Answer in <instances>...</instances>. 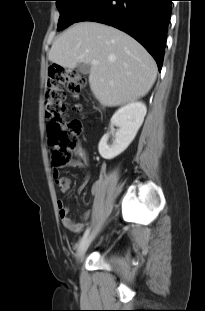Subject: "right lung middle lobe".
Masks as SVG:
<instances>
[{
	"label": "right lung middle lobe",
	"instance_id": "1",
	"mask_svg": "<svg viewBox=\"0 0 205 311\" xmlns=\"http://www.w3.org/2000/svg\"><path fill=\"white\" fill-rule=\"evenodd\" d=\"M60 12L57 30L75 23L95 0H55Z\"/></svg>",
	"mask_w": 205,
	"mask_h": 311
}]
</instances>
